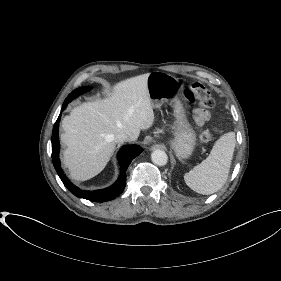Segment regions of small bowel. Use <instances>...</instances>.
<instances>
[{"label": "small bowel", "instance_id": "obj_1", "mask_svg": "<svg viewBox=\"0 0 281 281\" xmlns=\"http://www.w3.org/2000/svg\"><path fill=\"white\" fill-rule=\"evenodd\" d=\"M209 118V113L202 109H196L194 119L198 125H202Z\"/></svg>", "mask_w": 281, "mask_h": 281}]
</instances>
